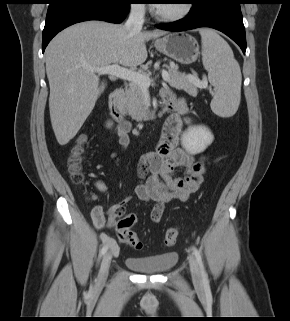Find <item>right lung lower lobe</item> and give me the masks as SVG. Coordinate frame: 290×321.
<instances>
[{"instance_id": "obj_1", "label": "right lung lower lobe", "mask_w": 290, "mask_h": 321, "mask_svg": "<svg viewBox=\"0 0 290 321\" xmlns=\"http://www.w3.org/2000/svg\"><path fill=\"white\" fill-rule=\"evenodd\" d=\"M131 0H54L50 3L42 34V51L50 40L64 28L87 20L120 23L130 9Z\"/></svg>"}]
</instances>
